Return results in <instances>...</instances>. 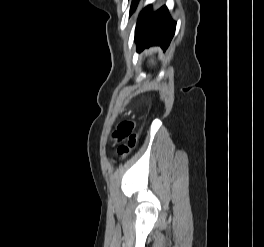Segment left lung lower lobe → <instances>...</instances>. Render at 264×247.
Returning a JSON list of instances; mask_svg holds the SVG:
<instances>
[{
	"label": "left lung lower lobe",
	"mask_w": 264,
	"mask_h": 247,
	"mask_svg": "<svg viewBox=\"0 0 264 247\" xmlns=\"http://www.w3.org/2000/svg\"><path fill=\"white\" fill-rule=\"evenodd\" d=\"M175 27L176 23L170 18L166 6L152 12V5H148L142 10L137 20L135 30L137 49L141 50L152 45L167 49Z\"/></svg>",
	"instance_id": "obj_1"
}]
</instances>
